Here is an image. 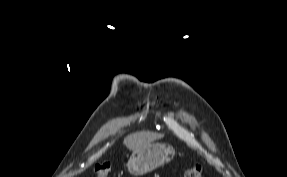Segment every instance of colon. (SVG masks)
I'll list each match as a JSON object with an SVG mask.
<instances>
[{
  "mask_svg": "<svg viewBox=\"0 0 287 177\" xmlns=\"http://www.w3.org/2000/svg\"><path fill=\"white\" fill-rule=\"evenodd\" d=\"M111 171L110 163L104 162L96 165L94 173L96 177H109ZM184 177H203V169L199 164L188 167L184 172Z\"/></svg>",
  "mask_w": 287,
  "mask_h": 177,
  "instance_id": "colon-1",
  "label": "colon"
}]
</instances>
